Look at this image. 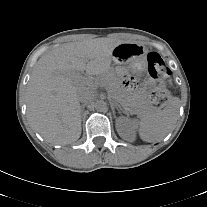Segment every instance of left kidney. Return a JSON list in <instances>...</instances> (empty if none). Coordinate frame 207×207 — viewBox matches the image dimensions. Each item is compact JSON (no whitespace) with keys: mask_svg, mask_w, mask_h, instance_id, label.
<instances>
[{"mask_svg":"<svg viewBox=\"0 0 207 207\" xmlns=\"http://www.w3.org/2000/svg\"><path fill=\"white\" fill-rule=\"evenodd\" d=\"M116 127L119 135L125 140H133L135 137L134 129L131 127V122L126 117H120L116 122Z\"/></svg>","mask_w":207,"mask_h":207,"instance_id":"left-kidney-1","label":"left kidney"}]
</instances>
